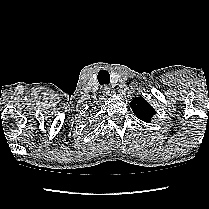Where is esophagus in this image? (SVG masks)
Wrapping results in <instances>:
<instances>
[{
    "mask_svg": "<svg viewBox=\"0 0 209 209\" xmlns=\"http://www.w3.org/2000/svg\"><path fill=\"white\" fill-rule=\"evenodd\" d=\"M103 93L105 96H110L114 93V91L109 86H105L103 88Z\"/></svg>",
    "mask_w": 209,
    "mask_h": 209,
    "instance_id": "1",
    "label": "esophagus"
}]
</instances>
